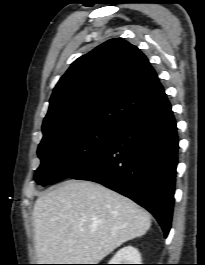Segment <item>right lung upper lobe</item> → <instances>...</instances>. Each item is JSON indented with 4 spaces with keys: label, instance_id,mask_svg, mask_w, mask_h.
Here are the masks:
<instances>
[{
    "label": "right lung upper lobe",
    "instance_id": "obj_1",
    "mask_svg": "<svg viewBox=\"0 0 205 265\" xmlns=\"http://www.w3.org/2000/svg\"><path fill=\"white\" fill-rule=\"evenodd\" d=\"M163 94L146 56L123 39H110L74 61L60 78L42 131L65 132L97 122L121 124Z\"/></svg>",
    "mask_w": 205,
    "mask_h": 265
}]
</instances>
